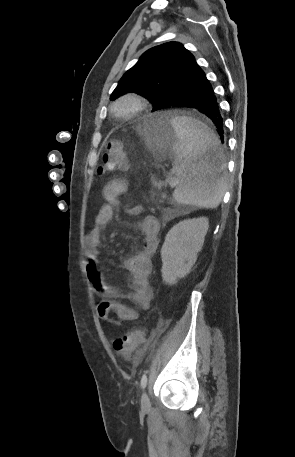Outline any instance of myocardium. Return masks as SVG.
Wrapping results in <instances>:
<instances>
[{"mask_svg":"<svg viewBox=\"0 0 295 457\" xmlns=\"http://www.w3.org/2000/svg\"><path fill=\"white\" fill-rule=\"evenodd\" d=\"M148 106L147 99L139 93H126L117 98L112 104L115 116L128 119L132 118Z\"/></svg>","mask_w":295,"mask_h":457,"instance_id":"f54148a6","label":"myocardium"}]
</instances>
